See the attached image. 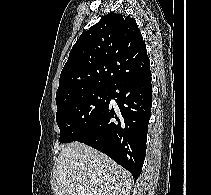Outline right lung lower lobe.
Masks as SVG:
<instances>
[{
	"instance_id": "right-lung-lower-lobe-1",
	"label": "right lung lower lobe",
	"mask_w": 211,
	"mask_h": 195,
	"mask_svg": "<svg viewBox=\"0 0 211 195\" xmlns=\"http://www.w3.org/2000/svg\"><path fill=\"white\" fill-rule=\"evenodd\" d=\"M111 99L117 107H112ZM110 100L99 118L75 141L105 153L131 172L136 181L146 155L152 104L150 67L116 82Z\"/></svg>"
}]
</instances>
